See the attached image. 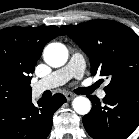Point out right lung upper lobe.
I'll list each match as a JSON object with an SVG mask.
<instances>
[{"instance_id":"obj_1","label":"right lung upper lobe","mask_w":139,"mask_h":139,"mask_svg":"<svg viewBox=\"0 0 139 139\" xmlns=\"http://www.w3.org/2000/svg\"><path fill=\"white\" fill-rule=\"evenodd\" d=\"M59 35L57 26L8 27L0 30V59L13 64L20 74L31 80L44 46Z\"/></svg>"}]
</instances>
